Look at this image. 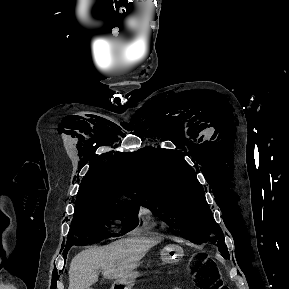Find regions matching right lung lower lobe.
<instances>
[{"instance_id":"obj_1","label":"right lung lower lobe","mask_w":289,"mask_h":289,"mask_svg":"<svg viewBox=\"0 0 289 289\" xmlns=\"http://www.w3.org/2000/svg\"><path fill=\"white\" fill-rule=\"evenodd\" d=\"M67 253H64V257L66 258Z\"/></svg>"}]
</instances>
